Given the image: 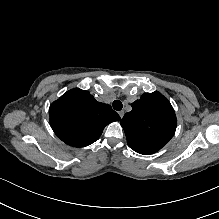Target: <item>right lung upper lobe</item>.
Segmentation results:
<instances>
[{
    "label": "right lung upper lobe",
    "mask_w": 219,
    "mask_h": 219,
    "mask_svg": "<svg viewBox=\"0 0 219 219\" xmlns=\"http://www.w3.org/2000/svg\"><path fill=\"white\" fill-rule=\"evenodd\" d=\"M49 115L55 134L73 147L92 144L106 125L120 120L110 105L96 101L88 91L79 88L67 91L53 102Z\"/></svg>",
    "instance_id": "1"
}]
</instances>
